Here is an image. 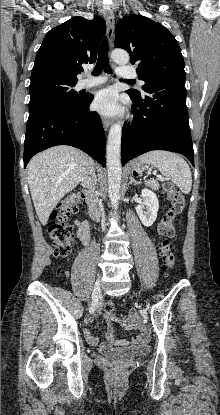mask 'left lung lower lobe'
<instances>
[{
  "label": "left lung lower lobe",
  "mask_w": 220,
  "mask_h": 415,
  "mask_svg": "<svg viewBox=\"0 0 220 415\" xmlns=\"http://www.w3.org/2000/svg\"><path fill=\"white\" fill-rule=\"evenodd\" d=\"M127 93L135 107L132 125L123 126L122 165L145 152L167 150L184 155L194 166L185 81L151 83L142 96Z\"/></svg>",
  "instance_id": "1"
}]
</instances>
